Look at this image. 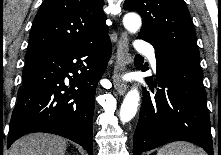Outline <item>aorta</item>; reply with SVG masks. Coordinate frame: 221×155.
Wrapping results in <instances>:
<instances>
[{
  "label": "aorta",
  "instance_id": "aorta-1",
  "mask_svg": "<svg viewBox=\"0 0 221 155\" xmlns=\"http://www.w3.org/2000/svg\"><path fill=\"white\" fill-rule=\"evenodd\" d=\"M141 18L136 13H128L123 18L124 27L131 33H136L141 28ZM140 95L136 88H132L126 94L120 108V120L123 123L130 121L136 114Z\"/></svg>",
  "mask_w": 221,
  "mask_h": 155
}]
</instances>
